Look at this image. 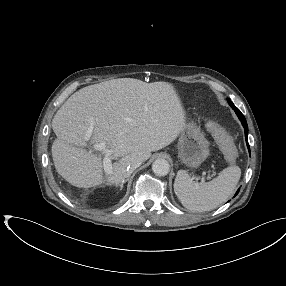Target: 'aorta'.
I'll use <instances>...</instances> for the list:
<instances>
[{
  "label": "aorta",
  "instance_id": "obj_1",
  "mask_svg": "<svg viewBox=\"0 0 286 286\" xmlns=\"http://www.w3.org/2000/svg\"><path fill=\"white\" fill-rule=\"evenodd\" d=\"M152 170L157 176H165L170 171V165L165 159H156L152 164Z\"/></svg>",
  "mask_w": 286,
  "mask_h": 286
}]
</instances>
